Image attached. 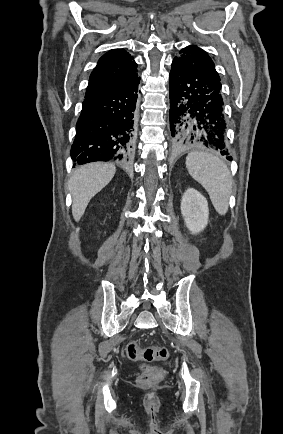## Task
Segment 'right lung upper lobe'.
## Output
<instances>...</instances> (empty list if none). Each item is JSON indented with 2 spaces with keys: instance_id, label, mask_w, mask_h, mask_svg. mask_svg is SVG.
<instances>
[{
  "instance_id": "cb5924a9",
  "label": "right lung upper lobe",
  "mask_w": 283,
  "mask_h": 434,
  "mask_svg": "<svg viewBox=\"0 0 283 434\" xmlns=\"http://www.w3.org/2000/svg\"><path fill=\"white\" fill-rule=\"evenodd\" d=\"M137 63L124 49L105 53L93 69L85 98L122 88L137 78Z\"/></svg>"
}]
</instances>
